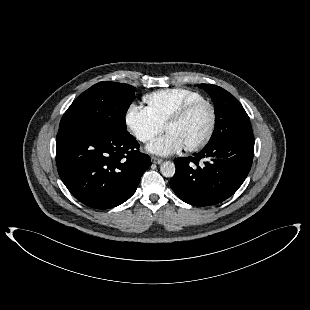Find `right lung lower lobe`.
<instances>
[{
	"mask_svg": "<svg viewBox=\"0 0 310 310\" xmlns=\"http://www.w3.org/2000/svg\"><path fill=\"white\" fill-rule=\"evenodd\" d=\"M56 162L70 193L86 206L108 209L128 200L151 164L130 134L112 136L80 126L58 131Z\"/></svg>",
	"mask_w": 310,
	"mask_h": 310,
	"instance_id": "obj_1",
	"label": "right lung lower lobe"
}]
</instances>
